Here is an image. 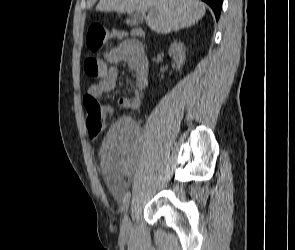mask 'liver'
Segmentation results:
<instances>
[{
  "label": "liver",
  "instance_id": "1",
  "mask_svg": "<svg viewBox=\"0 0 295 250\" xmlns=\"http://www.w3.org/2000/svg\"><path fill=\"white\" fill-rule=\"evenodd\" d=\"M147 9H153L146 16ZM96 11L142 13L151 30L159 34L176 32L197 23L206 12L198 0H100Z\"/></svg>",
  "mask_w": 295,
  "mask_h": 250
}]
</instances>
